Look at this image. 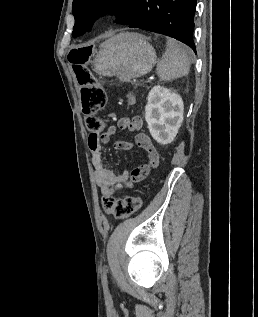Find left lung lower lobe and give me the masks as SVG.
I'll use <instances>...</instances> for the list:
<instances>
[{
	"label": "left lung lower lobe",
	"instance_id": "1",
	"mask_svg": "<svg viewBox=\"0 0 258 317\" xmlns=\"http://www.w3.org/2000/svg\"><path fill=\"white\" fill-rule=\"evenodd\" d=\"M197 0H140L127 24L175 38L196 52L193 42Z\"/></svg>",
	"mask_w": 258,
	"mask_h": 317
}]
</instances>
